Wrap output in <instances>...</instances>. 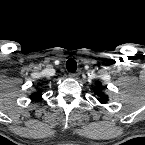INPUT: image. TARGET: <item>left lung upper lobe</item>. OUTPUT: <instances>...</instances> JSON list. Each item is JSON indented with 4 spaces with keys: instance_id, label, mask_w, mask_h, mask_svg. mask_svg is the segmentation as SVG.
<instances>
[{
    "instance_id": "5c2ea615",
    "label": "left lung upper lobe",
    "mask_w": 145,
    "mask_h": 145,
    "mask_svg": "<svg viewBox=\"0 0 145 145\" xmlns=\"http://www.w3.org/2000/svg\"><path fill=\"white\" fill-rule=\"evenodd\" d=\"M102 88V83L96 82V89L94 90V93L98 96V100L100 103H107L108 97L103 93Z\"/></svg>"
}]
</instances>
